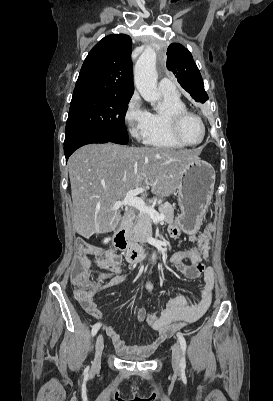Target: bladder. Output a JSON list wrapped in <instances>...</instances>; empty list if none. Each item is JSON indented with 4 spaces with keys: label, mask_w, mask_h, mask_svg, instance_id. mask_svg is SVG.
Returning a JSON list of instances; mask_svg holds the SVG:
<instances>
[{
    "label": "bladder",
    "mask_w": 273,
    "mask_h": 401,
    "mask_svg": "<svg viewBox=\"0 0 273 401\" xmlns=\"http://www.w3.org/2000/svg\"><path fill=\"white\" fill-rule=\"evenodd\" d=\"M147 357H148V355L138 356V357H128V358H135V359L143 360V359H146Z\"/></svg>",
    "instance_id": "bladder-1"
}]
</instances>
